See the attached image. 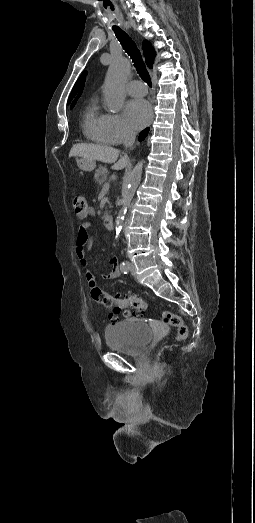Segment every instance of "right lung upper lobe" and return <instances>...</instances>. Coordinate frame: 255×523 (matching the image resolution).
I'll return each instance as SVG.
<instances>
[{"label": "right lung upper lobe", "instance_id": "1", "mask_svg": "<svg viewBox=\"0 0 255 523\" xmlns=\"http://www.w3.org/2000/svg\"><path fill=\"white\" fill-rule=\"evenodd\" d=\"M143 51H144V56H145V59H146V63L148 65V67H152V64H153V61H154V58H155V55H156V52L154 51V48L153 46L151 45V43L147 40H145L143 42ZM84 75H85V72L81 75V77L77 80V82L75 83L74 87H73V90L70 94V97H69V101H71V99L75 96V94L77 93L80 85H81V82L84 78ZM148 131H149V128H146L144 129L141 133H140V137L142 139H144L147 134H148Z\"/></svg>", "mask_w": 255, "mask_h": 523}]
</instances>
